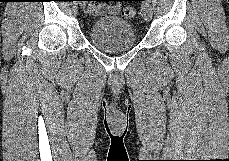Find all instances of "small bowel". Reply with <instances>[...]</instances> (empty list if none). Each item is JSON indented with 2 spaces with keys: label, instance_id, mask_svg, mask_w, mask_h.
<instances>
[{
  "label": "small bowel",
  "instance_id": "1",
  "mask_svg": "<svg viewBox=\"0 0 229 161\" xmlns=\"http://www.w3.org/2000/svg\"><path fill=\"white\" fill-rule=\"evenodd\" d=\"M118 10H119V4L115 3V4L111 5V6H109L106 9V12L110 13V14H114V13L118 12ZM91 11L92 12H96L97 10L95 8H92Z\"/></svg>",
  "mask_w": 229,
  "mask_h": 161
}]
</instances>
